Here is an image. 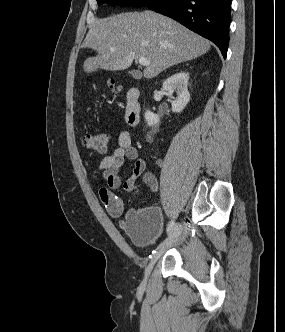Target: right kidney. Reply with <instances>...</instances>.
Listing matches in <instances>:
<instances>
[{"mask_svg": "<svg viewBox=\"0 0 285 332\" xmlns=\"http://www.w3.org/2000/svg\"><path fill=\"white\" fill-rule=\"evenodd\" d=\"M188 80V73L181 71L167 78L163 82V90L173 99L171 104L172 111L175 113L182 112L190 100ZM173 93L177 94L176 98L173 97ZM144 117L148 126H153L159 123V116L152 113L150 110H146Z\"/></svg>", "mask_w": 285, "mask_h": 332, "instance_id": "1", "label": "right kidney"}]
</instances>
